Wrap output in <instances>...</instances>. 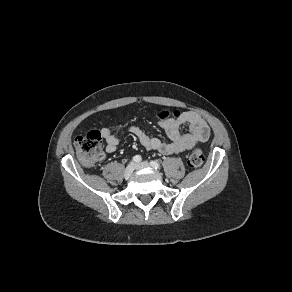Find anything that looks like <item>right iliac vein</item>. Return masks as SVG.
<instances>
[{"mask_svg":"<svg viewBox=\"0 0 292 292\" xmlns=\"http://www.w3.org/2000/svg\"><path fill=\"white\" fill-rule=\"evenodd\" d=\"M134 169H135V165H134V163H133V162L129 163V164L127 165V167L125 168V170H124V177H125V178L130 177L131 174L133 173Z\"/></svg>","mask_w":292,"mask_h":292,"instance_id":"63e3f726","label":"right iliac vein"}]
</instances>
